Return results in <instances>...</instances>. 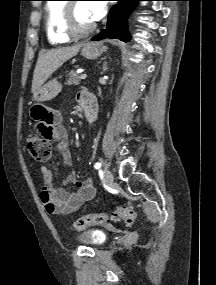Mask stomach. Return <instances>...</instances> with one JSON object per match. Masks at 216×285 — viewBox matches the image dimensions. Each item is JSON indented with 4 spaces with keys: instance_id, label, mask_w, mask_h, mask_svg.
I'll return each instance as SVG.
<instances>
[{
    "instance_id": "0dacf381",
    "label": "stomach",
    "mask_w": 216,
    "mask_h": 285,
    "mask_svg": "<svg viewBox=\"0 0 216 285\" xmlns=\"http://www.w3.org/2000/svg\"><path fill=\"white\" fill-rule=\"evenodd\" d=\"M107 50V47L100 43H87L83 46L81 55L86 59H97L100 55ZM61 84L53 79L45 83L41 88L34 93L33 98L37 102L50 101L55 98L61 91Z\"/></svg>"
}]
</instances>
